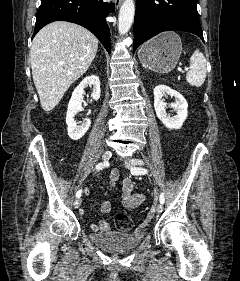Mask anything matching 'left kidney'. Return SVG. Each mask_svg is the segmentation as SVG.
Masks as SVG:
<instances>
[{
	"mask_svg": "<svg viewBox=\"0 0 240 281\" xmlns=\"http://www.w3.org/2000/svg\"><path fill=\"white\" fill-rule=\"evenodd\" d=\"M167 95L175 97V102L170 104L176 111V115L173 117H170L166 113L167 104L164 102L163 97H167ZM187 108V101L179 92L166 85H158L154 88V109L157 117L165 127L169 129H180L188 116Z\"/></svg>",
	"mask_w": 240,
	"mask_h": 281,
	"instance_id": "left-kidney-1",
	"label": "left kidney"
}]
</instances>
